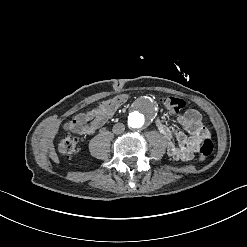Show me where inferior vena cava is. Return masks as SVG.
I'll return each instance as SVG.
<instances>
[{
	"instance_id": "602c4592",
	"label": "inferior vena cava",
	"mask_w": 247,
	"mask_h": 247,
	"mask_svg": "<svg viewBox=\"0 0 247 247\" xmlns=\"http://www.w3.org/2000/svg\"><path fill=\"white\" fill-rule=\"evenodd\" d=\"M125 131V125L123 123H116L114 126H113V132L114 133H122Z\"/></svg>"
}]
</instances>
